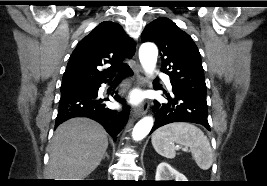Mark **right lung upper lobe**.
Masks as SVG:
<instances>
[{
    "instance_id": "cb5924a9",
    "label": "right lung upper lobe",
    "mask_w": 267,
    "mask_h": 186,
    "mask_svg": "<svg viewBox=\"0 0 267 186\" xmlns=\"http://www.w3.org/2000/svg\"><path fill=\"white\" fill-rule=\"evenodd\" d=\"M134 42L123 28L112 21H105L84 37L72 52L63 75L62 86L93 84L112 78L124 67L125 58L134 55ZM111 66L104 71L98 67Z\"/></svg>"
}]
</instances>
